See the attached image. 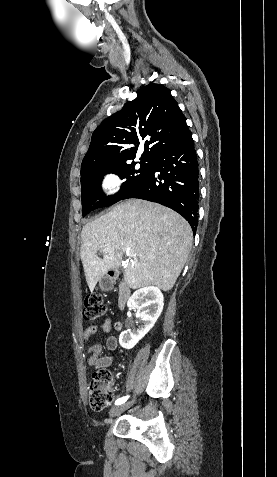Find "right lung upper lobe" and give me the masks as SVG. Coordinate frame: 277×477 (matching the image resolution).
<instances>
[{"instance_id":"right-lung-upper-lobe-1","label":"right lung upper lobe","mask_w":277,"mask_h":477,"mask_svg":"<svg viewBox=\"0 0 277 477\" xmlns=\"http://www.w3.org/2000/svg\"><path fill=\"white\" fill-rule=\"evenodd\" d=\"M136 99L103 120L93 132L81 171L128 163L147 139L140 160L178 142L187 132L186 118L168 88L151 83L142 87ZM134 144V147L128 145Z\"/></svg>"}]
</instances>
